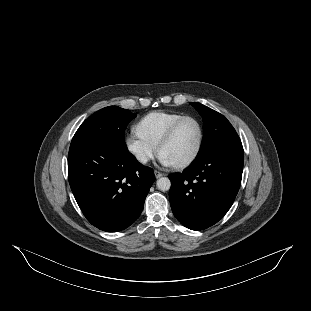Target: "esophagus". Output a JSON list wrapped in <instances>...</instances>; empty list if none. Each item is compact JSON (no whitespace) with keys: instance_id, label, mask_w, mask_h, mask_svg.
<instances>
[{"instance_id":"esophagus-1","label":"esophagus","mask_w":311,"mask_h":311,"mask_svg":"<svg viewBox=\"0 0 311 311\" xmlns=\"http://www.w3.org/2000/svg\"><path fill=\"white\" fill-rule=\"evenodd\" d=\"M154 174H155L156 179H158L164 175L162 172H160L158 170H154Z\"/></svg>"}]
</instances>
